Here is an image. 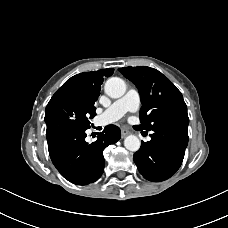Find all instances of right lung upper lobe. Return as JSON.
<instances>
[{
    "label": "right lung upper lobe",
    "instance_id": "cb5924a9",
    "mask_svg": "<svg viewBox=\"0 0 228 228\" xmlns=\"http://www.w3.org/2000/svg\"><path fill=\"white\" fill-rule=\"evenodd\" d=\"M113 72L114 69H104L80 73L67 80L59 89L70 91L82 101L94 105L100 95L103 76L109 77Z\"/></svg>",
    "mask_w": 228,
    "mask_h": 228
}]
</instances>
